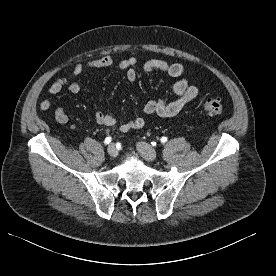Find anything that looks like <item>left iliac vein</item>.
I'll return each mask as SVG.
<instances>
[{
    "instance_id": "left-iliac-vein-1",
    "label": "left iliac vein",
    "mask_w": 276,
    "mask_h": 276,
    "mask_svg": "<svg viewBox=\"0 0 276 276\" xmlns=\"http://www.w3.org/2000/svg\"><path fill=\"white\" fill-rule=\"evenodd\" d=\"M137 150L141 154V156L147 161H154L157 157L155 149L145 142H138Z\"/></svg>"
}]
</instances>
